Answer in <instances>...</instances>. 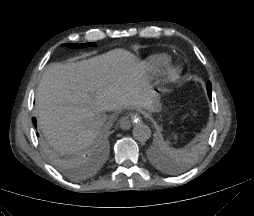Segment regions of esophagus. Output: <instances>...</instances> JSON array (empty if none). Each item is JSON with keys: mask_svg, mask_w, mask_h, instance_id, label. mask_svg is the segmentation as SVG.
I'll return each instance as SVG.
<instances>
[{"mask_svg": "<svg viewBox=\"0 0 254 216\" xmlns=\"http://www.w3.org/2000/svg\"><path fill=\"white\" fill-rule=\"evenodd\" d=\"M142 118L139 114H128L122 117L119 121V125L123 130H129L134 123L141 122Z\"/></svg>", "mask_w": 254, "mask_h": 216, "instance_id": "1", "label": "esophagus"}]
</instances>
